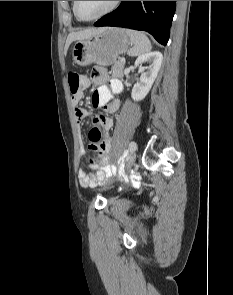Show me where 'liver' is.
<instances>
[{"label": "liver", "mask_w": 233, "mask_h": 295, "mask_svg": "<svg viewBox=\"0 0 233 295\" xmlns=\"http://www.w3.org/2000/svg\"><path fill=\"white\" fill-rule=\"evenodd\" d=\"M102 30H104V28H90L87 30L70 33L67 37V40H66L64 54L67 53V50L73 41L87 39V38L101 32Z\"/></svg>", "instance_id": "obj_1"}]
</instances>
